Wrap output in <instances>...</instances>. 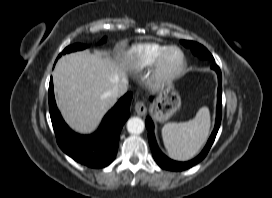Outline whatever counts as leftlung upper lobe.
<instances>
[{
    "label": "left lung upper lobe",
    "instance_id": "1",
    "mask_svg": "<svg viewBox=\"0 0 272 198\" xmlns=\"http://www.w3.org/2000/svg\"><path fill=\"white\" fill-rule=\"evenodd\" d=\"M181 43L187 47L190 48L191 51L197 55L198 57L202 59L209 58L211 60H214L213 56L210 54V52L201 44L193 41H186V40H181Z\"/></svg>",
    "mask_w": 272,
    "mask_h": 198
}]
</instances>
